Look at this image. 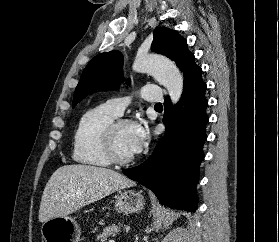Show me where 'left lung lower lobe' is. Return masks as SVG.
<instances>
[{"instance_id": "obj_1", "label": "left lung lower lobe", "mask_w": 279, "mask_h": 242, "mask_svg": "<svg viewBox=\"0 0 279 242\" xmlns=\"http://www.w3.org/2000/svg\"><path fill=\"white\" fill-rule=\"evenodd\" d=\"M182 72L184 85L180 101L174 107L169 97L164 102L165 136L145 162L123 173L152 190L163 205L195 212L199 166L207 139L208 101L202 69L195 64L193 54L184 63Z\"/></svg>"}]
</instances>
